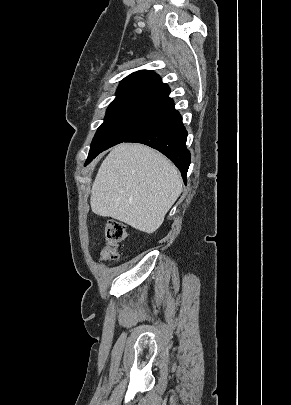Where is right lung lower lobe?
Masks as SVG:
<instances>
[{"instance_id": "right-lung-lower-lobe-1", "label": "right lung lower lobe", "mask_w": 291, "mask_h": 405, "mask_svg": "<svg viewBox=\"0 0 291 405\" xmlns=\"http://www.w3.org/2000/svg\"><path fill=\"white\" fill-rule=\"evenodd\" d=\"M186 138L187 131L182 123V117L173 105L165 116L125 142L142 143L163 153L178 167L186 183V174L191 160L190 152L186 147Z\"/></svg>"}]
</instances>
